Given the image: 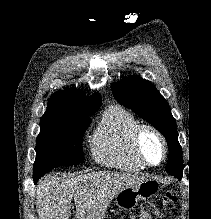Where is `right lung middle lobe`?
I'll return each instance as SVG.
<instances>
[{"mask_svg":"<svg viewBox=\"0 0 211 219\" xmlns=\"http://www.w3.org/2000/svg\"><path fill=\"white\" fill-rule=\"evenodd\" d=\"M94 114V113H92ZM44 116L36 139L34 183L53 168L82 163V139L91 123L90 115Z\"/></svg>","mask_w":211,"mask_h":219,"instance_id":"obj_1","label":"right lung middle lobe"}]
</instances>
